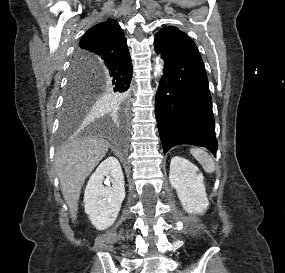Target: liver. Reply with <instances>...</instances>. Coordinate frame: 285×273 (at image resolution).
Returning a JSON list of instances; mask_svg holds the SVG:
<instances>
[{
	"label": "liver",
	"instance_id": "liver-1",
	"mask_svg": "<svg viewBox=\"0 0 285 273\" xmlns=\"http://www.w3.org/2000/svg\"><path fill=\"white\" fill-rule=\"evenodd\" d=\"M109 144L100 138L73 140L56 154L55 169L72 219L77 217L78 201L85 179L103 159Z\"/></svg>",
	"mask_w": 285,
	"mask_h": 273
}]
</instances>
